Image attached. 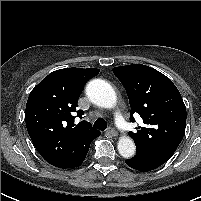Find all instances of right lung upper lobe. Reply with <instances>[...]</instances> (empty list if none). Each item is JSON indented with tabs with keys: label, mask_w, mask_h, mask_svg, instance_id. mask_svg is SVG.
Returning a JSON list of instances; mask_svg holds the SVG:
<instances>
[{
	"label": "right lung upper lobe",
	"mask_w": 201,
	"mask_h": 201,
	"mask_svg": "<svg viewBox=\"0 0 201 201\" xmlns=\"http://www.w3.org/2000/svg\"><path fill=\"white\" fill-rule=\"evenodd\" d=\"M97 68H65L46 76L31 91L26 104L25 121L30 138L40 155L58 168L79 164L98 130L81 121L74 124L79 95L85 83L97 76Z\"/></svg>",
	"instance_id": "right-lung-upper-lobe-1"
}]
</instances>
